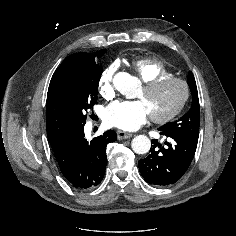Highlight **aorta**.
<instances>
[{"label":"aorta","mask_w":236,"mask_h":236,"mask_svg":"<svg viewBox=\"0 0 236 236\" xmlns=\"http://www.w3.org/2000/svg\"><path fill=\"white\" fill-rule=\"evenodd\" d=\"M115 87L125 97L132 98L133 92L137 89L138 84L129 74L121 73L115 79ZM131 147L137 154H146L151 148V141L145 135H138L133 138Z\"/></svg>","instance_id":"762f6f07"}]
</instances>
